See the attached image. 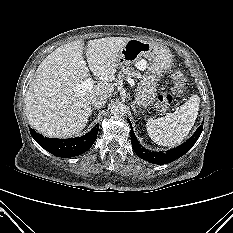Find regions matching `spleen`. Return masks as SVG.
<instances>
[{
	"instance_id": "obj_1",
	"label": "spleen",
	"mask_w": 233,
	"mask_h": 233,
	"mask_svg": "<svg viewBox=\"0 0 233 233\" xmlns=\"http://www.w3.org/2000/svg\"><path fill=\"white\" fill-rule=\"evenodd\" d=\"M200 98L192 95L179 110L166 116L147 119L149 137L158 145L175 146L183 141L194 126L198 115Z\"/></svg>"
}]
</instances>
